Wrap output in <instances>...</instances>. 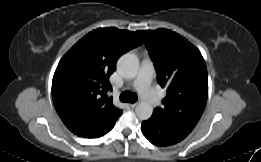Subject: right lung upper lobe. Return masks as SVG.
Instances as JSON below:
<instances>
[{"mask_svg":"<svg viewBox=\"0 0 261 162\" xmlns=\"http://www.w3.org/2000/svg\"><path fill=\"white\" fill-rule=\"evenodd\" d=\"M142 44L137 32L114 27L96 29L61 59L52 80L55 109L66 127L84 138L109 132L122 110L114 107L110 75L118 58Z\"/></svg>","mask_w":261,"mask_h":162,"instance_id":"right-lung-upper-lobe-1","label":"right lung upper lobe"}]
</instances>
